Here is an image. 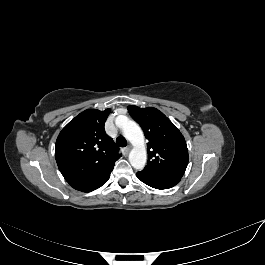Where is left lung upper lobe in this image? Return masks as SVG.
I'll list each match as a JSON object with an SVG mask.
<instances>
[{
  "label": "left lung upper lobe",
  "mask_w": 265,
  "mask_h": 265,
  "mask_svg": "<svg viewBox=\"0 0 265 265\" xmlns=\"http://www.w3.org/2000/svg\"><path fill=\"white\" fill-rule=\"evenodd\" d=\"M131 117L148 139V162L142 172L181 178L188 164V149L178 128L158 109L128 106Z\"/></svg>",
  "instance_id": "5c2ea615"
}]
</instances>
